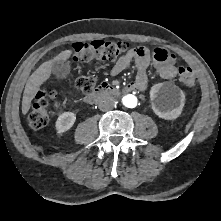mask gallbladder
<instances>
[{
    "mask_svg": "<svg viewBox=\"0 0 221 221\" xmlns=\"http://www.w3.org/2000/svg\"><path fill=\"white\" fill-rule=\"evenodd\" d=\"M52 72L57 79L66 78L70 73V65L67 61L56 60L53 62Z\"/></svg>",
    "mask_w": 221,
    "mask_h": 221,
    "instance_id": "1",
    "label": "gallbladder"
}]
</instances>
